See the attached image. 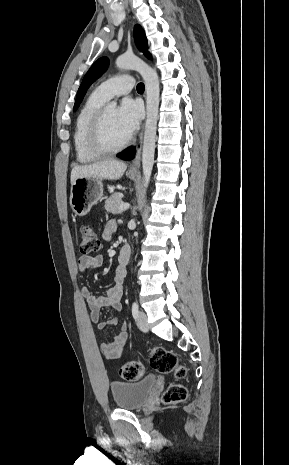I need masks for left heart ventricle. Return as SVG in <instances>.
<instances>
[{"label": "left heart ventricle", "instance_id": "left-heart-ventricle-1", "mask_svg": "<svg viewBox=\"0 0 289 465\" xmlns=\"http://www.w3.org/2000/svg\"><path fill=\"white\" fill-rule=\"evenodd\" d=\"M105 137L110 145H118L127 139V136L120 128L117 118V109L113 106L109 107L106 114Z\"/></svg>", "mask_w": 289, "mask_h": 465}]
</instances>
